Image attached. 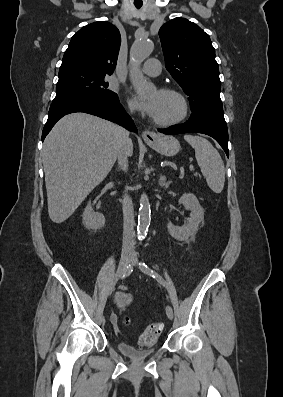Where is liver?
<instances>
[{"label": "liver", "instance_id": "liver-1", "mask_svg": "<svg viewBox=\"0 0 283 397\" xmlns=\"http://www.w3.org/2000/svg\"><path fill=\"white\" fill-rule=\"evenodd\" d=\"M119 126L86 113L66 115L44 141L42 158L48 213L67 220L112 169L122 147ZM133 154V144L127 147Z\"/></svg>", "mask_w": 283, "mask_h": 397}]
</instances>
